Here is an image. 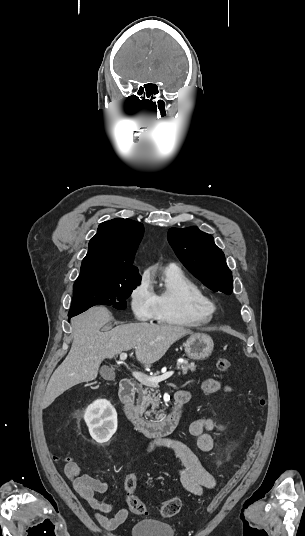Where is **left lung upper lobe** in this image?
Listing matches in <instances>:
<instances>
[{
  "instance_id": "left-lung-upper-lobe-1",
  "label": "left lung upper lobe",
  "mask_w": 305,
  "mask_h": 536,
  "mask_svg": "<svg viewBox=\"0 0 305 536\" xmlns=\"http://www.w3.org/2000/svg\"><path fill=\"white\" fill-rule=\"evenodd\" d=\"M168 241L183 265L207 287L227 295L233 289L232 272L213 237L197 227L171 228Z\"/></svg>"
}]
</instances>
